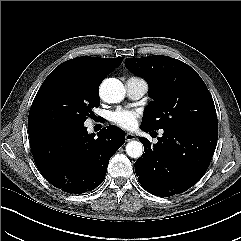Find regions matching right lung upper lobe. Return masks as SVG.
<instances>
[{
  "instance_id": "1",
  "label": "right lung upper lobe",
  "mask_w": 241,
  "mask_h": 241,
  "mask_svg": "<svg viewBox=\"0 0 241 241\" xmlns=\"http://www.w3.org/2000/svg\"><path fill=\"white\" fill-rule=\"evenodd\" d=\"M123 61L119 58H99L82 56L70 59L58 67L71 70L78 80L86 87L98 91L104 78Z\"/></svg>"
}]
</instances>
